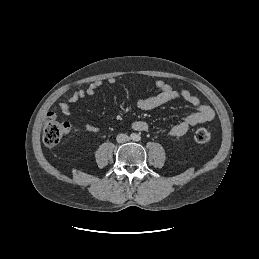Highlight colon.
I'll list each match as a JSON object with an SVG mask.
<instances>
[{
  "mask_svg": "<svg viewBox=\"0 0 259 259\" xmlns=\"http://www.w3.org/2000/svg\"><path fill=\"white\" fill-rule=\"evenodd\" d=\"M69 131L70 124L67 121L58 120L56 113L51 111L45 119L43 141L47 146H55L66 137ZM210 137V132L205 128L197 129L193 136L197 143H206L210 140Z\"/></svg>",
  "mask_w": 259,
  "mask_h": 259,
  "instance_id": "colon-1",
  "label": "colon"
}]
</instances>
